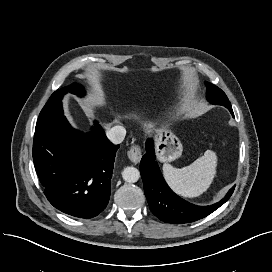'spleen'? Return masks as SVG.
Masks as SVG:
<instances>
[{
  "label": "spleen",
  "mask_w": 272,
  "mask_h": 272,
  "mask_svg": "<svg viewBox=\"0 0 272 272\" xmlns=\"http://www.w3.org/2000/svg\"><path fill=\"white\" fill-rule=\"evenodd\" d=\"M217 167L215 152L207 150L203 156L183 168L163 165V175L170 188L182 197H198L211 185Z\"/></svg>",
  "instance_id": "obj_1"
}]
</instances>
